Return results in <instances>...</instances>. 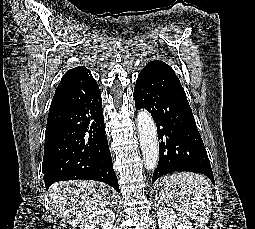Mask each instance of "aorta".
<instances>
[{"label": "aorta", "instance_id": "obj_1", "mask_svg": "<svg viewBox=\"0 0 255 229\" xmlns=\"http://www.w3.org/2000/svg\"><path fill=\"white\" fill-rule=\"evenodd\" d=\"M137 126L145 167L150 172L154 171L159 159V145L156 125L148 111H139Z\"/></svg>", "mask_w": 255, "mask_h": 229}]
</instances>
